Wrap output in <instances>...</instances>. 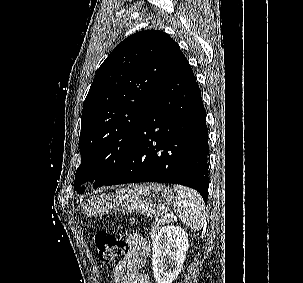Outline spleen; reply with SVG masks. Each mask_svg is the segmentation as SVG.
I'll return each mask as SVG.
<instances>
[{
	"mask_svg": "<svg viewBox=\"0 0 303 283\" xmlns=\"http://www.w3.org/2000/svg\"><path fill=\"white\" fill-rule=\"evenodd\" d=\"M176 197L173 201V210L183 224L194 231H199L205 220V205L201 195L184 186H173Z\"/></svg>",
	"mask_w": 303,
	"mask_h": 283,
	"instance_id": "1",
	"label": "spleen"
}]
</instances>
